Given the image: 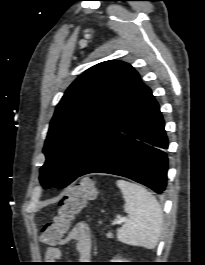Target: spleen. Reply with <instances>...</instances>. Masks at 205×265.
I'll return each mask as SVG.
<instances>
[{
    "label": "spleen",
    "instance_id": "obj_1",
    "mask_svg": "<svg viewBox=\"0 0 205 265\" xmlns=\"http://www.w3.org/2000/svg\"><path fill=\"white\" fill-rule=\"evenodd\" d=\"M129 214L126 223L118 230L117 239L132 246L146 249L156 247L163 226L162 209L157 199L139 184L118 180Z\"/></svg>",
    "mask_w": 205,
    "mask_h": 265
}]
</instances>
